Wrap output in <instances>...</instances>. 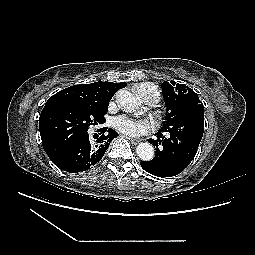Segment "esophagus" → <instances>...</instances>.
Masks as SVG:
<instances>
[{"label":"esophagus","mask_w":255,"mask_h":255,"mask_svg":"<svg viewBox=\"0 0 255 255\" xmlns=\"http://www.w3.org/2000/svg\"><path fill=\"white\" fill-rule=\"evenodd\" d=\"M133 144H137L140 142V139L139 138H133V137H127Z\"/></svg>","instance_id":"34e87169"}]
</instances>
